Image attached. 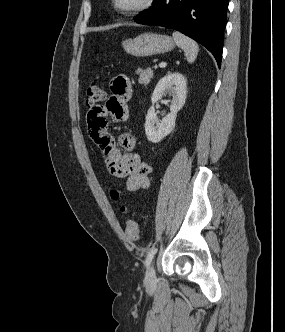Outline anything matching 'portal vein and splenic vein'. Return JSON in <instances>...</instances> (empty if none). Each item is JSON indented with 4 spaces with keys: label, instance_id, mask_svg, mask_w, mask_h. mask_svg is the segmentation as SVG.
<instances>
[{
    "label": "portal vein and splenic vein",
    "instance_id": "1",
    "mask_svg": "<svg viewBox=\"0 0 285 332\" xmlns=\"http://www.w3.org/2000/svg\"><path fill=\"white\" fill-rule=\"evenodd\" d=\"M159 67H161V68L166 67V63H165V62H161V63L159 64Z\"/></svg>",
    "mask_w": 285,
    "mask_h": 332
}]
</instances>
